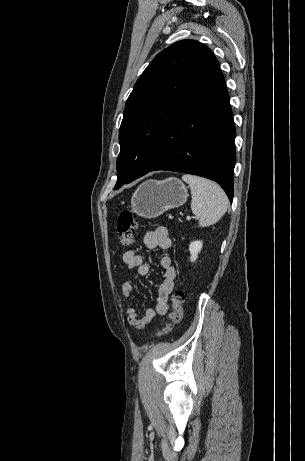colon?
<instances>
[{
  "mask_svg": "<svg viewBox=\"0 0 305 461\" xmlns=\"http://www.w3.org/2000/svg\"><path fill=\"white\" fill-rule=\"evenodd\" d=\"M138 223L133 213L123 211L118 217L117 233L120 244L123 247H129L133 241ZM184 293L182 290H176L172 296V311L169 315V321L156 333L157 336L170 332L173 327L183 320V303Z\"/></svg>",
  "mask_w": 305,
  "mask_h": 461,
  "instance_id": "colon-1",
  "label": "colon"
}]
</instances>
